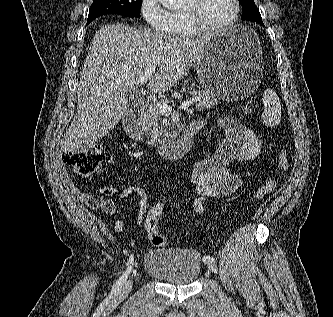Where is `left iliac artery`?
I'll return each instance as SVG.
<instances>
[{
  "label": "left iliac artery",
  "instance_id": "1",
  "mask_svg": "<svg viewBox=\"0 0 333 317\" xmlns=\"http://www.w3.org/2000/svg\"><path fill=\"white\" fill-rule=\"evenodd\" d=\"M203 261L209 263V262H215V259L207 255L203 257Z\"/></svg>",
  "mask_w": 333,
  "mask_h": 317
}]
</instances>
